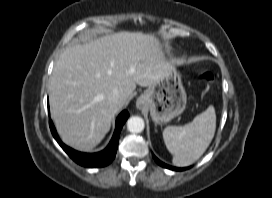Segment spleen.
Returning a JSON list of instances; mask_svg holds the SVG:
<instances>
[{"label": "spleen", "instance_id": "3e777b00", "mask_svg": "<svg viewBox=\"0 0 272 198\" xmlns=\"http://www.w3.org/2000/svg\"><path fill=\"white\" fill-rule=\"evenodd\" d=\"M216 130V114L213 106L197 115L184 126H168L163 140L173 155L175 166H188L197 161L210 145Z\"/></svg>", "mask_w": 272, "mask_h": 198}]
</instances>
